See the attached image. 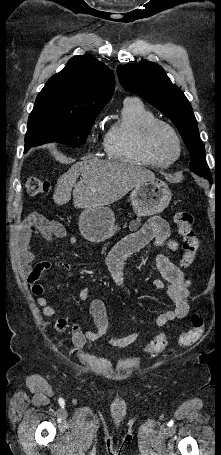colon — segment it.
Here are the masks:
<instances>
[{"label":"colon","instance_id":"obj_1","mask_svg":"<svg viewBox=\"0 0 221 455\" xmlns=\"http://www.w3.org/2000/svg\"><path fill=\"white\" fill-rule=\"evenodd\" d=\"M25 191L31 196H38L49 193L51 191V183L39 177H28L24 184ZM174 223L182 237L183 242V264L190 265L198 252L199 240L193 228V216L188 212H178L174 216ZM192 328L181 334L179 341L183 346L195 344L202 336L204 331L203 320L197 314L191 317ZM66 322L61 319L58 321V327L64 328ZM168 345V337L165 333L157 334L150 343L147 344L145 350L149 354L161 353Z\"/></svg>","mask_w":221,"mask_h":455}]
</instances>
